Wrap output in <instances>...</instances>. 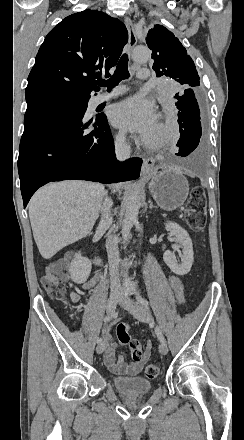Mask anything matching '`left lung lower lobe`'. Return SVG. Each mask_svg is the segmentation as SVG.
I'll return each instance as SVG.
<instances>
[{"mask_svg": "<svg viewBox=\"0 0 244 440\" xmlns=\"http://www.w3.org/2000/svg\"><path fill=\"white\" fill-rule=\"evenodd\" d=\"M175 105L178 109L180 139L178 156L189 155L198 146L202 134L199 99L194 89H185L177 93Z\"/></svg>", "mask_w": 244, "mask_h": 440, "instance_id": "0a47b994", "label": "left lung lower lobe"}]
</instances>
